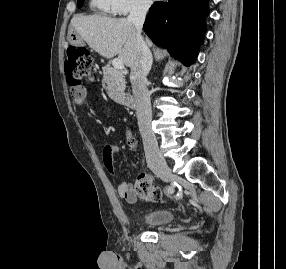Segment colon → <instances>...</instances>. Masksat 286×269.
<instances>
[{
  "label": "colon",
  "mask_w": 286,
  "mask_h": 269,
  "mask_svg": "<svg viewBox=\"0 0 286 269\" xmlns=\"http://www.w3.org/2000/svg\"><path fill=\"white\" fill-rule=\"evenodd\" d=\"M65 71L68 81L74 88H79L83 84H92L97 78L94 60L85 48H68ZM127 139L129 146L135 147L136 140L131 133H128ZM135 192L137 197L145 202H156L162 197L161 190L152 184L147 174L139 175Z\"/></svg>",
  "instance_id": "1"
}]
</instances>
